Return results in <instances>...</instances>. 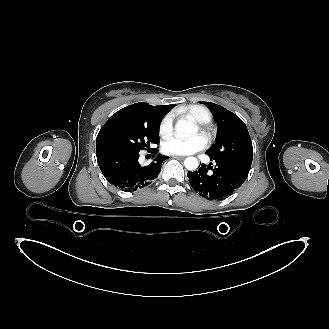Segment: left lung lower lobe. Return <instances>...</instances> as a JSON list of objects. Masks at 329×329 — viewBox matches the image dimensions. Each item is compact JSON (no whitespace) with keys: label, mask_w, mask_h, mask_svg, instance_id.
Listing matches in <instances>:
<instances>
[{"label":"left lung lower lobe","mask_w":329,"mask_h":329,"mask_svg":"<svg viewBox=\"0 0 329 329\" xmlns=\"http://www.w3.org/2000/svg\"><path fill=\"white\" fill-rule=\"evenodd\" d=\"M214 161V169L202 164L198 170L188 172L187 176L192 188L200 196L209 200H221L230 196L245 182L250 169L228 161ZM209 168L213 170L211 175L207 174Z\"/></svg>","instance_id":"1"}]
</instances>
